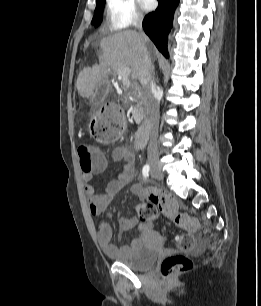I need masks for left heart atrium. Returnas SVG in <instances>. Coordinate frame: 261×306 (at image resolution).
Masks as SVG:
<instances>
[{
  "label": "left heart atrium",
  "instance_id": "1",
  "mask_svg": "<svg viewBox=\"0 0 261 306\" xmlns=\"http://www.w3.org/2000/svg\"><path fill=\"white\" fill-rule=\"evenodd\" d=\"M144 10H151L156 6V0H139Z\"/></svg>",
  "mask_w": 261,
  "mask_h": 306
}]
</instances>
